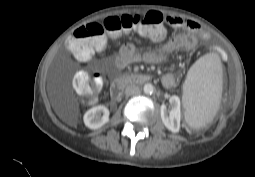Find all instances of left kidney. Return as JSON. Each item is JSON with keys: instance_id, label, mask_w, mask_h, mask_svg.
Returning <instances> with one entry per match:
<instances>
[{"instance_id": "5707ae66", "label": "left kidney", "mask_w": 255, "mask_h": 177, "mask_svg": "<svg viewBox=\"0 0 255 177\" xmlns=\"http://www.w3.org/2000/svg\"><path fill=\"white\" fill-rule=\"evenodd\" d=\"M171 109L169 112L166 110V106H161V118L165 127L171 132H178L180 128L181 110H180V98L176 95L171 96L169 99Z\"/></svg>"}]
</instances>
